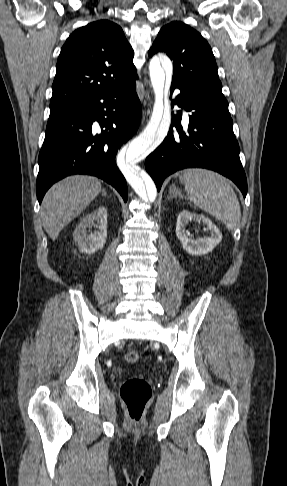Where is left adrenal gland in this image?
<instances>
[{"instance_id":"1","label":"left adrenal gland","mask_w":287,"mask_h":486,"mask_svg":"<svg viewBox=\"0 0 287 486\" xmlns=\"http://www.w3.org/2000/svg\"><path fill=\"white\" fill-rule=\"evenodd\" d=\"M186 198L184 197V195H182L181 191L175 187V185H172L170 188H169V196H168V199H172V198Z\"/></svg>"}]
</instances>
